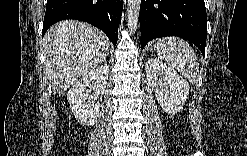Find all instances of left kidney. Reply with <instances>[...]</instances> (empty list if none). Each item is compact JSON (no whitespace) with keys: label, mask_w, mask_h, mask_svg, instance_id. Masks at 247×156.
<instances>
[{"label":"left kidney","mask_w":247,"mask_h":156,"mask_svg":"<svg viewBox=\"0 0 247 156\" xmlns=\"http://www.w3.org/2000/svg\"><path fill=\"white\" fill-rule=\"evenodd\" d=\"M146 79L164 112L175 115L183 109L189 95V83L174 69L157 59H149L145 66Z\"/></svg>","instance_id":"5707ae66"}]
</instances>
